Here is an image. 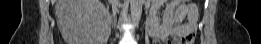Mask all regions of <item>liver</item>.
<instances>
[{
  "label": "liver",
  "mask_w": 261,
  "mask_h": 44,
  "mask_svg": "<svg viewBox=\"0 0 261 44\" xmlns=\"http://www.w3.org/2000/svg\"><path fill=\"white\" fill-rule=\"evenodd\" d=\"M58 27L67 42H103L98 37L96 25L107 15L99 0H54Z\"/></svg>",
  "instance_id": "liver-1"
}]
</instances>
